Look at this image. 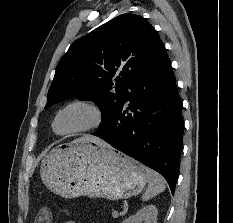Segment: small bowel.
I'll return each mask as SVG.
<instances>
[{"mask_svg": "<svg viewBox=\"0 0 233 223\" xmlns=\"http://www.w3.org/2000/svg\"><path fill=\"white\" fill-rule=\"evenodd\" d=\"M66 223H74L72 220H68L66 221Z\"/></svg>", "mask_w": 233, "mask_h": 223, "instance_id": "c3829d8e", "label": "small bowel"}]
</instances>
